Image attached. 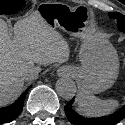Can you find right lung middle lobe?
I'll list each match as a JSON object with an SVG mask.
<instances>
[{"label": "right lung middle lobe", "mask_w": 125, "mask_h": 125, "mask_svg": "<svg viewBox=\"0 0 125 125\" xmlns=\"http://www.w3.org/2000/svg\"><path fill=\"white\" fill-rule=\"evenodd\" d=\"M25 5L24 0L0 1V14H11L20 10Z\"/></svg>", "instance_id": "1"}]
</instances>
